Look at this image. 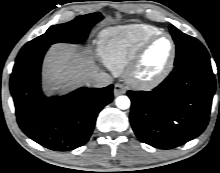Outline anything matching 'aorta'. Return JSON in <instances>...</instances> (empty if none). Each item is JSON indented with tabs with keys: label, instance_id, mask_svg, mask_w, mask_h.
<instances>
[{
	"label": "aorta",
	"instance_id": "1",
	"mask_svg": "<svg viewBox=\"0 0 220 173\" xmlns=\"http://www.w3.org/2000/svg\"><path fill=\"white\" fill-rule=\"evenodd\" d=\"M115 103L116 106L122 110L128 109L130 107V99L127 96H118Z\"/></svg>",
	"mask_w": 220,
	"mask_h": 173
}]
</instances>
